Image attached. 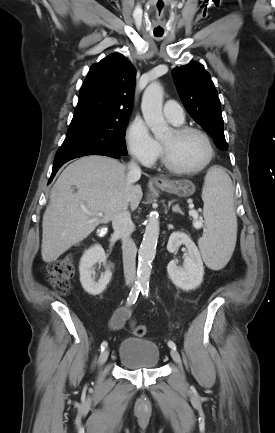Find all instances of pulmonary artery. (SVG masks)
<instances>
[{
	"mask_svg": "<svg viewBox=\"0 0 275 433\" xmlns=\"http://www.w3.org/2000/svg\"><path fill=\"white\" fill-rule=\"evenodd\" d=\"M163 112L166 118L172 122H183L184 110L176 101L169 100L164 104Z\"/></svg>",
	"mask_w": 275,
	"mask_h": 433,
	"instance_id": "obj_1",
	"label": "pulmonary artery"
}]
</instances>
